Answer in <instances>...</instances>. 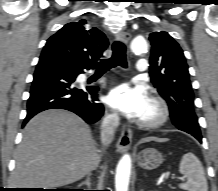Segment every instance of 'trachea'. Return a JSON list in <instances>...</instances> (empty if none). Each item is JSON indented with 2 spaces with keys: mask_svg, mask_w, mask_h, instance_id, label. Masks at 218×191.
<instances>
[{
  "mask_svg": "<svg viewBox=\"0 0 218 191\" xmlns=\"http://www.w3.org/2000/svg\"><path fill=\"white\" fill-rule=\"evenodd\" d=\"M112 50L113 55L111 58L101 59L97 69L98 72H106L118 65L127 68L126 47L124 43L115 41L112 45Z\"/></svg>",
  "mask_w": 218,
  "mask_h": 191,
  "instance_id": "3493384b",
  "label": "trachea"
}]
</instances>
